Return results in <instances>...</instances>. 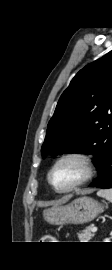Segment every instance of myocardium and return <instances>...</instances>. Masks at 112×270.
I'll use <instances>...</instances> for the list:
<instances>
[{
    "label": "myocardium",
    "mask_w": 112,
    "mask_h": 270,
    "mask_svg": "<svg viewBox=\"0 0 112 270\" xmlns=\"http://www.w3.org/2000/svg\"><path fill=\"white\" fill-rule=\"evenodd\" d=\"M68 160H74V161L79 162L84 169V175L82 176V178L80 180H78L74 184L70 185L69 187L60 189V188L56 187L54 185V183L52 182V175H53L54 171L56 170V168L61 163L68 161ZM95 174H96V165H95V162H94L91 155H89L85 152H81V151H69V152H65V153L61 154L60 156H58L56 158V160L53 162V164L51 165V167L47 173V181H48L49 185L51 186V188L56 193L67 194V193L73 192V191L81 188L82 186L86 185L87 183H89L95 177Z\"/></svg>",
    "instance_id": "1"
}]
</instances>
